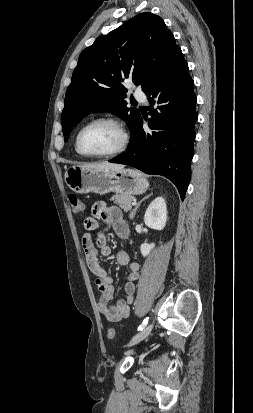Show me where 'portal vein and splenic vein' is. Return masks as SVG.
I'll list each match as a JSON object with an SVG mask.
<instances>
[{"instance_id": "portal-vein-and-splenic-vein-1", "label": "portal vein and splenic vein", "mask_w": 253, "mask_h": 413, "mask_svg": "<svg viewBox=\"0 0 253 413\" xmlns=\"http://www.w3.org/2000/svg\"><path fill=\"white\" fill-rule=\"evenodd\" d=\"M132 204L135 205V204H136V200H134Z\"/></svg>"}]
</instances>
